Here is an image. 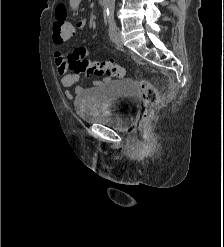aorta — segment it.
<instances>
[{"instance_id":"762f6f07","label":"aorta","mask_w":224,"mask_h":247,"mask_svg":"<svg viewBox=\"0 0 224 247\" xmlns=\"http://www.w3.org/2000/svg\"><path fill=\"white\" fill-rule=\"evenodd\" d=\"M105 10L108 20H114L115 0H106Z\"/></svg>"}]
</instances>
